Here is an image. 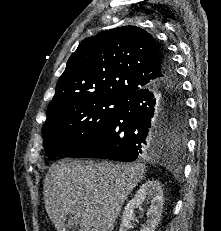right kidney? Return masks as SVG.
I'll use <instances>...</instances> for the list:
<instances>
[{"label":"right kidney","mask_w":221,"mask_h":231,"mask_svg":"<svg viewBox=\"0 0 221 231\" xmlns=\"http://www.w3.org/2000/svg\"><path fill=\"white\" fill-rule=\"evenodd\" d=\"M145 199L150 201L146 213L148 219L140 231H154L156 229L162 214L164 195L158 181L148 180L126 205L119 231H127L132 227L131 221L134 219V209L140 206Z\"/></svg>","instance_id":"right-kidney-1"}]
</instances>
